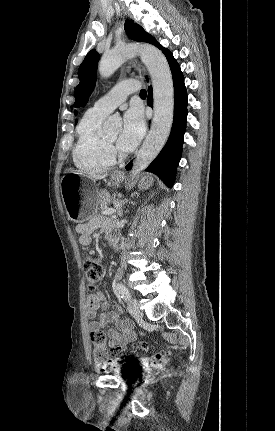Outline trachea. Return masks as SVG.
I'll list each match as a JSON object with an SVG mask.
<instances>
[{"instance_id":"1","label":"trachea","mask_w":275,"mask_h":431,"mask_svg":"<svg viewBox=\"0 0 275 431\" xmlns=\"http://www.w3.org/2000/svg\"><path fill=\"white\" fill-rule=\"evenodd\" d=\"M146 95H147L146 90L143 89V90L140 91V96L143 97V96H146Z\"/></svg>"}]
</instances>
